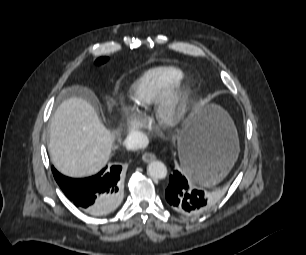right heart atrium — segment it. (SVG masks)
<instances>
[{"label":"right heart atrium","mask_w":306,"mask_h":255,"mask_svg":"<svg viewBox=\"0 0 306 255\" xmlns=\"http://www.w3.org/2000/svg\"><path fill=\"white\" fill-rule=\"evenodd\" d=\"M118 111L128 135L136 136L142 127L141 120L125 105L120 106Z\"/></svg>","instance_id":"1"}]
</instances>
